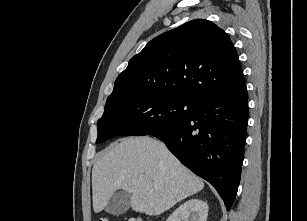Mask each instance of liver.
I'll return each instance as SVG.
<instances>
[{
  "mask_svg": "<svg viewBox=\"0 0 307 221\" xmlns=\"http://www.w3.org/2000/svg\"><path fill=\"white\" fill-rule=\"evenodd\" d=\"M203 188V181L162 142L147 136L122 139L100 155L92 170L95 213L120 189L130 194L132 210L156 216Z\"/></svg>",
  "mask_w": 307,
  "mask_h": 221,
  "instance_id": "6515ba94",
  "label": "liver"
}]
</instances>
